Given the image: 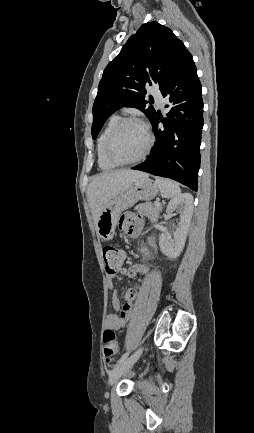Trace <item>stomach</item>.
<instances>
[{
  "mask_svg": "<svg viewBox=\"0 0 254 433\" xmlns=\"http://www.w3.org/2000/svg\"><path fill=\"white\" fill-rule=\"evenodd\" d=\"M159 192V187L148 177L137 179L124 192L115 196L102 210L96 222L98 236L102 240H111L120 214L139 200L149 201Z\"/></svg>",
  "mask_w": 254,
  "mask_h": 433,
  "instance_id": "0dacf381",
  "label": "stomach"
}]
</instances>
